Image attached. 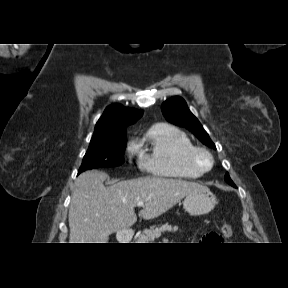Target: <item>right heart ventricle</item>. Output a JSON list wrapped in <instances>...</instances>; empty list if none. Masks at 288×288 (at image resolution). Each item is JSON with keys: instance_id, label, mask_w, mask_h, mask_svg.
Returning a JSON list of instances; mask_svg holds the SVG:
<instances>
[{"instance_id": "right-heart-ventricle-1", "label": "right heart ventricle", "mask_w": 288, "mask_h": 288, "mask_svg": "<svg viewBox=\"0 0 288 288\" xmlns=\"http://www.w3.org/2000/svg\"><path fill=\"white\" fill-rule=\"evenodd\" d=\"M193 144L180 129L166 124L152 125L138 141L140 163L153 175L175 179H198L203 172L188 161Z\"/></svg>"}]
</instances>
